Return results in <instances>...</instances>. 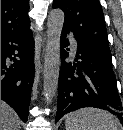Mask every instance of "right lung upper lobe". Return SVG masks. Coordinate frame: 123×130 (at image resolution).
Returning a JSON list of instances; mask_svg holds the SVG:
<instances>
[{
    "label": "right lung upper lobe",
    "mask_w": 123,
    "mask_h": 130,
    "mask_svg": "<svg viewBox=\"0 0 123 130\" xmlns=\"http://www.w3.org/2000/svg\"><path fill=\"white\" fill-rule=\"evenodd\" d=\"M29 0H1V35L29 29Z\"/></svg>",
    "instance_id": "obj_1"
}]
</instances>
